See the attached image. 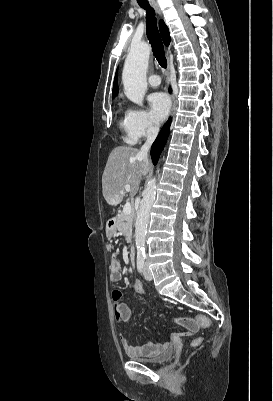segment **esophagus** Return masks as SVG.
Instances as JSON below:
<instances>
[{
	"label": "esophagus",
	"instance_id": "1",
	"mask_svg": "<svg viewBox=\"0 0 273 401\" xmlns=\"http://www.w3.org/2000/svg\"><path fill=\"white\" fill-rule=\"evenodd\" d=\"M152 5H153L154 9L156 10V12H157L159 15H161V10H160L158 4H157V3H154V4H152ZM166 74H167L168 82L170 83V62H169V59H168V63H167V71H166ZM170 96H171V101H172L171 115H173V114H174V111H175V97H174L173 93H171Z\"/></svg>",
	"mask_w": 273,
	"mask_h": 401
}]
</instances>
